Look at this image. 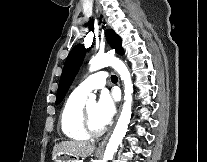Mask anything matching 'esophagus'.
I'll return each instance as SVG.
<instances>
[{
    "mask_svg": "<svg viewBox=\"0 0 207 162\" xmlns=\"http://www.w3.org/2000/svg\"><path fill=\"white\" fill-rule=\"evenodd\" d=\"M122 102H123V98L121 99V103H120V106H119V110H118V115L117 116H119V114H120V111H121V107H122ZM109 136H110V133L103 139V141L99 144V146H98V148H97V151L98 152H102L103 150H104V148H105V145H106V143H107V141H108V139H109Z\"/></svg>",
    "mask_w": 207,
    "mask_h": 162,
    "instance_id": "34e87169",
    "label": "esophagus"
}]
</instances>
